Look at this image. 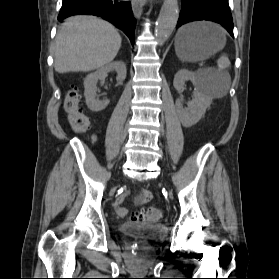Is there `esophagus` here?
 Wrapping results in <instances>:
<instances>
[{
  "label": "esophagus",
  "instance_id": "34e87169",
  "mask_svg": "<svg viewBox=\"0 0 279 279\" xmlns=\"http://www.w3.org/2000/svg\"><path fill=\"white\" fill-rule=\"evenodd\" d=\"M145 0H132V11L135 17L140 18Z\"/></svg>",
  "mask_w": 279,
  "mask_h": 279
}]
</instances>
